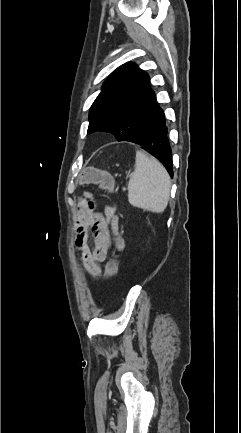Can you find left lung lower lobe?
<instances>
[{
	"label": "left lung lower lobe",
	"mask_w": 241,
	"mask_h": 433,
	"mask_svg": "<svg viewBox=\"0 0 241 433\" xmlns=\"http://www.w3.org/2000/svg\"><path fill=\"white\" fill-rule=\"evenodd\" d=\"M126 141L142 146L147 152L155 156L173 176L172 151L163 110L147 128Z\"/></svg>",
	"instance_id": "obj_1"
}]
</instances>
